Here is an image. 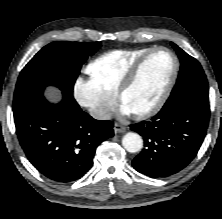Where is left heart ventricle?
<instances>
[{
	"mask_svg": "<svg viewBox=\"0 0 222 219\" xmlns=\"http://www.w3.org/2000/svg\"><path fill=\"white\" fill-rule=\"evenodd\" d=\"M173 67V59L167 52L152 54L144 62L138 77L124 95L122 104L132 113H138L151 107L162 94Z\"/></svg>",
	"mask_w": 222,
	"mask_h": 219,
	"instance_id": "obj_1",
	"label": "left heart ventricle"
}]
</instances>
